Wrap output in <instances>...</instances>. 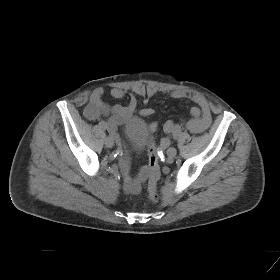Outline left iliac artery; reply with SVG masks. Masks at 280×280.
I'll use <instances>...</instances> for the list:
<instances>
[{"instance_id": "1", "label": "left iliac artery", "mask_w": 280, "mask_h": 280, "mask_svg": "<svg viewBox=\"0 0 280 280\" xmlns=\"http://www.w3.org/2000/svg\"><path fill=\"white\" fill-rule=\"evenodd\" d=\"M181 132H182V126L181 125L175 124V125L172 126L171 134H172L174 139H177L180 136Z\"/></svg>"}]
</instances>
